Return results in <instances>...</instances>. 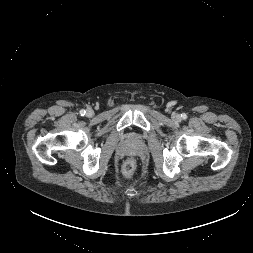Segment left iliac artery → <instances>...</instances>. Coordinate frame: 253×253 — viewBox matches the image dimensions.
I'll list each match as a JSON object with an SVG mask.
<instances>
[{
	"mask_svg": "<svg viewBox=\"0 0 253 253\" xmlns=\"http://www.w3.org/2000/svg\"><path fill=\"white\" fill-rule=\"evenodd\" d=\"M181 117H182L183 119H185L187 116H186L185 113H183V114H181Z\"/></svg>",
	"mask_w": 253,
	"mask_h": 253,
	"instance_id": "44dca946",
	"label": "left iliac artery"
}]
</instances>
